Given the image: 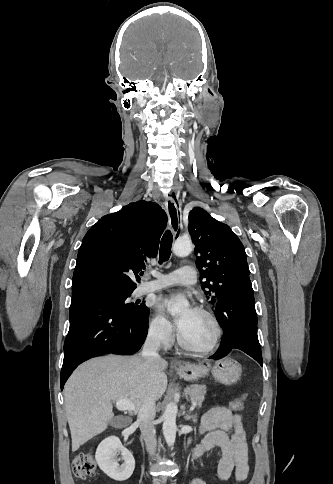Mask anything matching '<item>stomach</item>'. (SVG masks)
<instances>
[{
	"label": "stomach",
	"instance_id": "1",
	"mask_svg": "<svg viewBox=\"0 0 333 484\" xmlns=\"http://www.w3.org/2000/svg\"><path fill=\"white\" fill-rule=\"evenodd\" d=\"M175 369L177 374L186 381H198L211 373L216 381L224 385L235 384L242 373L241 365L229 356L221 358L213 364L210 362L200 364L183 363L175 367Z\"/></svg>",
	"mask_w": 333,
	"mask_h": 484
}]
</instances>
